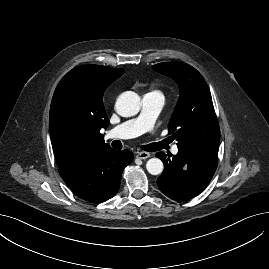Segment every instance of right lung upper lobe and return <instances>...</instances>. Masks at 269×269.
Instances as JSON below:
<instances>
[{"label": "right lung upper lobe", "instance_id": "right-lung-upper-lobe-1", "mask_svg": "<svg viewBox=\"0 0 269 269\" xmlns=\"http://www.w3.org/2000/svg\"><path fill=\"white\" fill-rule=\"evenodd\" d=\"M124 70L83 65L59 82L50 107L51 143L59 168L111 149L100 130L107 128L103 93Z\"/></svg>", "mask_w": 269, "mask_h": 269}]
</instances>
